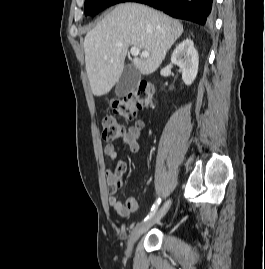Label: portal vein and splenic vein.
<instances>
[{
	"instance_id": "portal-vein-and-splenic-vein-1",
	"label": "portal vein and splenic vein",
	"mask_w": 265,
	"mask_h": 269,
	"mask_svg": "<svg viewBox=\"0 0 265 269\" xmlns=\"http://www.w3.org/2000/svg\"><path fill=\"white\" fill-rule=\"evenodd\" d=\"M130 52H131V54H132L133 56H138V55H140V54H141V56H142L143 58H146V57L149 56V52H147V51H142V52H140V49L137 48V47H131Z\"/></svg>"
}]
</instances>
